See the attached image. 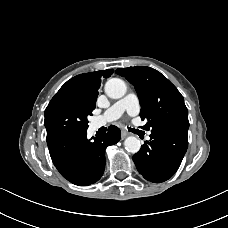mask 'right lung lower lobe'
<instances>
[{
    "instance_id": "1",
    "label": "right lung lower lobe",
    "mask_w": 228,
    "mask_h": 228,
    "mask_svg": "<svg viewBox=\"0 0 228 228\" xmlns=\"http://www.w3.org/2000/svg\"><path fill=\"white\" fill-rule=\"evenodd\" d=\"M121 138L120 129L111 125L106 134L87 139V130L70 131L47 141L52 161L68 181L86 186L95 183L105 169V149Z\"/></svg>"
}]
</instances>
